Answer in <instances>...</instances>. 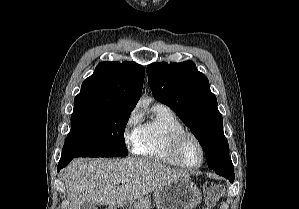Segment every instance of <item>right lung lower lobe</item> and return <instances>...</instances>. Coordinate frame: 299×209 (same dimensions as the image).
<instances>
[{
  "label": "right lung lower lobe",
  "mask_w": 299,
  "mask_h": 209,
  "mask_svg": "<svg viewBox=\"0 0 299 209\" xmlns=\"http://www.w3.org/2000/svg\"><path fill=\"white\" fill-rule=\"evenodd\" d=\"M73 158H61L58 166H57V170L60 171V169H62L63 167L67 166L68 163L72 160Z\"/></svg>",
  "instance_id": "right-lung-lower-lobe-1"
}]
</instances>
